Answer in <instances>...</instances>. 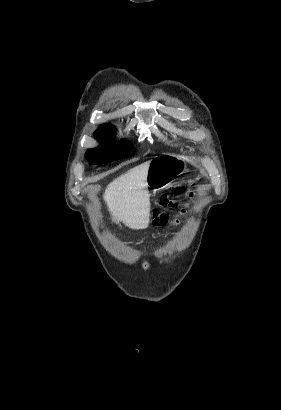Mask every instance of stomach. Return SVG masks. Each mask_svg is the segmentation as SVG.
Returning a JSON list of instances; mask_svg holds the SVG:
<instances>
[{
  "label": "stomach",
  "instance_id": "obj_1",
  "mask_svg": "<svg viewBox=\"0 0 281 410\" xmlns=\"http://www.w3.org/2000/svg\"><path fill=\"white\" fill-rule=\"evenodd\" d=\"M186 170V160L174 154H163L149 163L147 187L154 191L166 188L171 181Z\"/></svg>",
  "mask_w": 281,
  "mask_h": 410
}]
</instances>
